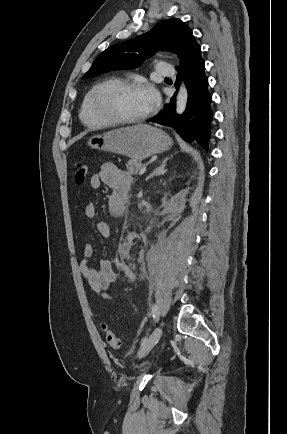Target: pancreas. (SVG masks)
I'll use <instances>...</instances> for the list:
<instances>
[{"label": "pancreas", "mask_w": 287, "mask_h": 434, "mask_svg": "<svg viewBox=\"0 0 287 434\" xmlns=\"http://www.w3.org/2000/svg\"><path fill=\"white\" fill-rule=\"evenodd\" d=\"M142 167L143 164L140 160L131 159L126 163V168L131 175H137Z\"/></svg>", "instance_id": "1"}]
</instances>
